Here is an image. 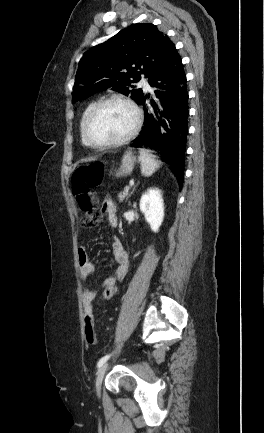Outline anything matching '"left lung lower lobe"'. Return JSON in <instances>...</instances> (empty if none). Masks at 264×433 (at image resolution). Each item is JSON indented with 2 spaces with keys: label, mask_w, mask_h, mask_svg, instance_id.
I'll list each match as a JSON object with an SVG mask.
<instances>
[{
  "label": "left lung lower lobe",
  "mask_w": 264,
  "mask_h": 433,
  "mask_svg": "<svg viewBox=\"0 0 264 433\" xmlns=\"http://www.w3.org/2000/svg\"><path fill=\"white\" fill-rule=\"evenodd\" d=\"M186 83L181 57L176 49L172 50L164 64L149 79V84L157 88L154 95L143 94L138 102L144 109V127L133 140L135 147L158 150L162 160L170 165L180 186L183 184L188 133ZM146 100L150 107L145 105Z\"/></svg>",
  "instance_id": "0a47b994"
}]
</instances>
